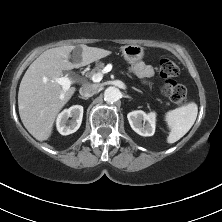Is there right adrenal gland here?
<instances>
[{
    "label": "right adrenal gland",
    "instance_id": "obj_1",
    "mask_svg": "<svg viewBox=\"0 0 222 222\" xmlns=\"http://www.w3.org/2000/svg\"><path fill=\"white\" fill-rule=\"evenodd\" d=\"M78 97L81 98V99L87 100V98H84V97H82V96H78Z\"/></svg>",
    "mask_w": 222,
    "mask_h": 222
}]
</instances>
